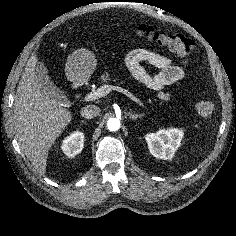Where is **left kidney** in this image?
<instances>
[{
	"mask_svg": "<svg viewBox=\"0 0 236 236\" xmlns=\"http://www.w3.org/2000/svg\"><path fill=\"white\" fill-rule=\"evenodd\" d=\"M184 132L180 129H161L156 133L145 136L150 153L164 160H171L175 151L180 147Z\"/></svg>",
	"mask_w": 236,
	"mask_h": 236,
	"instance_id": "obj_1",
	"label": "left kidney"
}]
</instances>
